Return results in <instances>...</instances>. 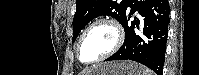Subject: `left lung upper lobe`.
I'll use <instances>...</instances> for the list:
<instances>
[{"mask_svg": "<svg viewBox=\"0 0 199 75\" xmlns=\"http://www.w3.org/2000/svg\"><path fill=\"white\" fill-rule=\"evenodd\" d=\"M131 0H77L76 13L73 19V39L78 36L83 27L93 18L108 15L120 23L124 19Z\"/></svg>", "mask_w": 199, "mask_h": 75, "instance_id": "5c2ea615", "label": "left lung upper lobe"}]
</instances>
